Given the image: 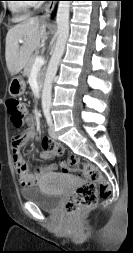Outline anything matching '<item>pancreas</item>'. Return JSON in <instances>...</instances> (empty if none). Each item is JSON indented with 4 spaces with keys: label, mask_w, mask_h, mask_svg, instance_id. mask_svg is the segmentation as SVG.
Wrapping results in <instances>:
<instances>
[{
    "label": "pancreas",
    "mask_w": 133,
    "mask_h": 253,
    "mask_svg": "<svg viewBox=\"0 0 133 253\" xmlns=\"http://www.w3.org/2000/svg\"><path fill=\"white\" fill-rule=\"evenodd\" d=\"M36 57H37L36 53L32 54L30 56L29 61L26 64L24 72H23L24 76L29 77V75L31 73V70H32V67H33V65L35 63ZM43 75H44L43 71L40 70L39 73H38V78H37V81H38L39 85H41V83H42V77H43Z\"/></svg>",
    "instance_id": "1"
}]
</instances>
